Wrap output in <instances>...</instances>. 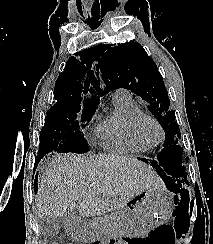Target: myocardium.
<instances>
[{"instance_id":"myocardium-1","label":"myocardium","mask_w":213,"mask_h":244,"mask_svg":"<svg viewBox=\"0 0 213 244\" xmlns=\"http://www.w3.org/2000/svg\"><path fill=\"white\" fill-rule=\"evenodd\" d=\"M147 123H152L158 129L159 137L157 139L153 140V139L148 138L145 135L144 126ZM132 131H133L134 135L140 141H142L150 146H155V145L160 144L165 138V131H164L161 123L155 117L144 114V113L134 119V121L132 123Z\"/></svg>"}]
</instances>
